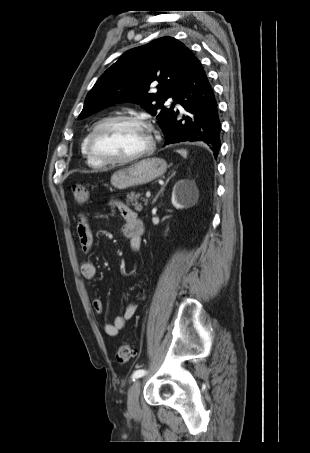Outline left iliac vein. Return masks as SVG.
Returning a JSON list of instances; mask_svg holds the SVG:
<instances>
[{
	"label": "left iliac vein",
	"instance_id": "4c4485c4",
	"mask_svg": "<svg viewBox=\"0 0 310 453\" xmlns=\"http://www.w3.org/2000/svg\"><path fill=\"white\" fill-rule=\"evenodd\" d=\"M141 383L140 380H135L128 392V411L132 415H137L140 411L139 395Z\"/></svg>",
	"mask_w": 310,
	"mask_h": 453
}]
</instances>
